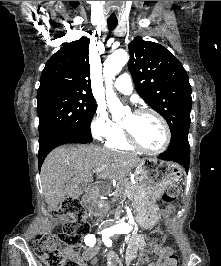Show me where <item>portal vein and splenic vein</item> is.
<instances>
[{
	"mask_svg": "<svg viewBox=\"0 0 221 266\" xmlns=\"http://www.w3.org/2000/svg\"><path fill=\"white\" fill-rule=\"evenodd\" d=\"M103 169H104V167H97V168H95V169L93 170V172H97V173H99V172H101Z\"/></svg>",
	"mask_w": 221,
	"mask_h": 266,
	"instance_id": "1",
	"label": "portal vein and splenic vein"
}]
</instances>
